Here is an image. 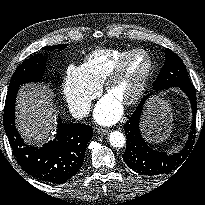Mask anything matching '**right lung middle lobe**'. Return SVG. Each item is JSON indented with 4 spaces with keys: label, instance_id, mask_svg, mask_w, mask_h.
Segmentation results:
<instances>
[{
    "label": "right lung middle lobe",
    "instance_id": "right-lung-middle-lobe-1",
    "mask_svg": "<svg viewBox=\"0 0 205 205\" xmlns=\"http://www.w3.org/2000/svg\"><path fill=\"white\" fill-rule=\"evenodd\" d=\"M68 44L43 47L42 50H64ZM46 58L42 53L36 54L23 62L14 72L10 81L9 89L19 87L26 82H36L42 79L46 69Z\"/></svg>",
    "mask_w": 205,
    "mask_h": 205
}]
</instances>
